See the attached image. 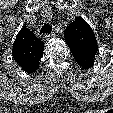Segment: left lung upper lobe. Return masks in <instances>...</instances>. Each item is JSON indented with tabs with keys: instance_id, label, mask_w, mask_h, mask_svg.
Segmentation results:
<instances>
[{
	"instance_id": "left-lung-upper-lobe-1",
	"label": "left lung upper lobe",
	"mask_w": 113,
	"mask_h": 113,
	"mask_svg": "<svg viewBox=\"0 0 113 113\" xmlns=\"http://www.w3.org/2000/svg\"><path fill=\"white\" fill-rule=\"evenodd\" d=\"M64 37L76 62L84 69L94 65L98 45L92 28L78 17L66 28Z\"/></svg>"
}]
</instances>
